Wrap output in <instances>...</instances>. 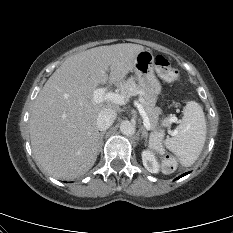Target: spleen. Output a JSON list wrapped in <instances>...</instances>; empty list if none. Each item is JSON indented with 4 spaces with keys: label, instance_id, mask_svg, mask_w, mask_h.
Masks as SVG:
<instances>
[{
    "label": "spleen",
    "instance_id": "spleen-1",
    "mask_svg": "<svg viewBox=\"0 0 233 233\" xmlns=\"http://www.w3.org/2000/svg\"><path fill=\"white\" fill-rule=\"evenodd\" d=\"M206 121L202 107L195 101L187 102L184 116L176 128V135L163 141L164 146L179 160L180 164L189 167L195 163L206 140ZM149 147L160 151V145L151 134ZM165 173L174 171L169 167L174 166L173 160H164Z\"/></svg>",
    "mask_w": 233,
    "mask_h": 233
}]
</instances>
